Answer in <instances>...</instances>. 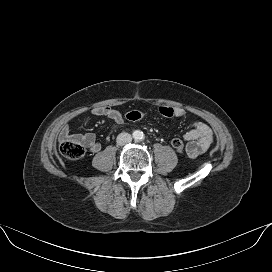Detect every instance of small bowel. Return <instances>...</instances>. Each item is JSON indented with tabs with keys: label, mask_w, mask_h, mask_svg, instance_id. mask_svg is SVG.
<instances>
[{
	"label": "small bowel",
	"mask_w": 272,
	"mask_h": 272,
	"mask_svg": "<svg viewBox=\"0 0 272 272\" xmlns=\"http://www.w3.org/2000/svg\"><path fill=\"white\" fill-rule=\"evenodd\" d=\"M175 116L178 118H184L186 112L180 107H176ZM93 116H104L113 120L116 124H123L124 118L120 111L111 107H97L92 110ZM212 129L203 122H194L192 128L184 134V140L186 143V152L191 158H196L199 155L205 153L213 142ZM59 140L62 142L67 140H73L86 146L91 153H96L100 150V144L96 140L94 133L86 134H71L70 126L65 124L59 134Z\"/></svg>",
	"instance_id": "c3829d8e"
}]
</instances>
